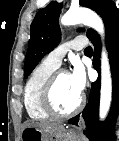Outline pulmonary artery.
Returning a JSON list of instances; mask_svg holds the SVG:
<instances>
[{
	"label": "pulmonary artery",
	"instance_id": "obj_1",
	"mask_svg": "<svg viewBox=\"0 0 119 141\" xmlns=\"http://www.w3.org/2000/svg\"><path fill=\"white\" fill-rule=\"evenodd\" d=\"M87 46V43L83 39H73L62 43L52 52H50L46 58L45 62L53 67L58 68L61 65L62 59L71 49L80 50Z\"/></svg>",
	"mask_w": 119,
	"mask_h": 141
}]
</instances>
